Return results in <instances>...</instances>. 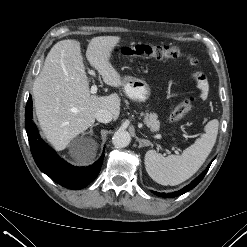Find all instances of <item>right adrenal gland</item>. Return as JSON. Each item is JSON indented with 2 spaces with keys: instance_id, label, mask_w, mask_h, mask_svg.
Here are the masks:
<instances>
[{
  "instance_id": "obj_1",
  "label": "right adrenal gland",
  "mask_w": 247,
  "mask_h": 247,
  "mask_svg": "<svg viewBox=\"0 0 247 247\" xmlns=\"http://www.w3.org/2000/svg\"><path fill=\"white\" fill-rule=\"evenodd\" d=\"M99 125V123L94 124L93 126H91L90 130L87 132L88 134H90L91 136L93 135V127Z\"/></svg>"
}]
</instances>
